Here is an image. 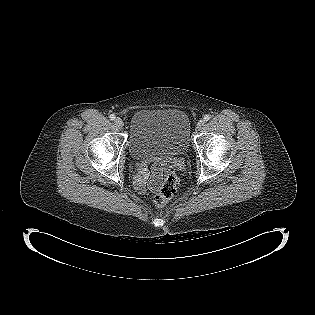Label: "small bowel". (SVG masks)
Returning <instances> with one entry per match:
<instances>
[{
  "label": "small bowel",
  "mask_w": 315,
  "mask_h": 315,
  "mask_svg": "<svg viewBox=\"0 0 315 315\" xmlns=\"http://www.w3.org/2000/svg\"><path fill=\"white\" fill-rule=\"evenodd\" d=\"M148 177H149L148 170L145 167H142L140 169L139 175L135 180L138 190L144 191L146 190V188H149L150 190L158 189L163 180L161 168L159 166L154 167L153 175L150 181L147 183Z\"/></svg>",
  "instance_id": "obj_1"
}]
</instances>
